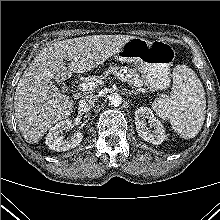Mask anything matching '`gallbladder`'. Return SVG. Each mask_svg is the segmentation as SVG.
Segmentation results:
<instances>
[{"label": "gallbladder", "instance_id": "1", "mask_svg": "<svg viewBox=\"0 0 220 220\" xmlns=\"http://www.w3.org/2000/svg\"><path fill=\"white\" fill-rule=\"evenodd\" d=\"M60 90H61V91H65V86H63V85L60 86Z\"/></svg>", "mask_w": 220, "mask_h": 220}]
</instances>
